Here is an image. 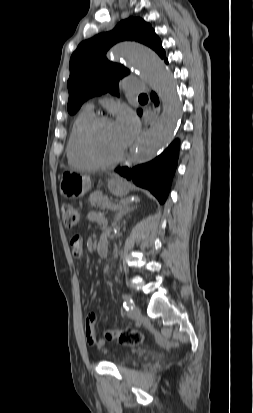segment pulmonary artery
I'll return each mask as SVG.
<instances>
[{
	"label": "pulmonary artery",
	"instance_id": "obj_1",
	"mask_svg": "<svg viewBox=\"0 0 253 413\" xmlns=\"http://www.w3.org/2000/svg\"><path fill=\"white\" fill-rule=\"evenodd\" d=\"M125 88H126L128 91L133 92V93H141V92H144V90H145V87L143 86V84H141V83H133V82H131V81H129V82L126 84ZM86 108L92 110V109H93V105H92V104H87V105H86Z\"/></svg>",
	"mask_w": 253,
	"mask_h": 413
}]
</instances>
